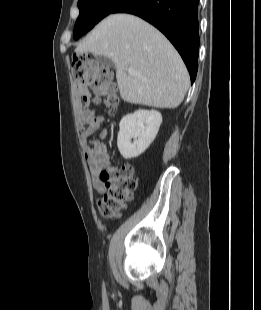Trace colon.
I'll return each instance as SVG.
<instances>
[{
    "label": "colon",
    "mask_w": 261,
    "mask_h": 310,
    "mask_svg": "<svg viewBox=\"0 0 261 310\" xmlns=\"http://www.w3.org/2000/svg\"><path fill=\"white\" fill-rule=\"evenodd\" d=\"M71 72L77 84L94 89L96 102L103 103L110 111L118 105L116 86L113 83L112 71L99 64L87 53L75 54L72 58ZM100 178L106 187V192L99 202V211L105 218L116 217L132 199L137 182L134 169L130 164L120 167H108Z\"/></svg>",
    "instance_id": "5ec220e1"
}]
</instances>
